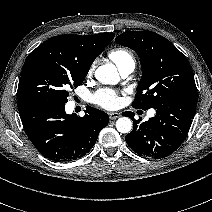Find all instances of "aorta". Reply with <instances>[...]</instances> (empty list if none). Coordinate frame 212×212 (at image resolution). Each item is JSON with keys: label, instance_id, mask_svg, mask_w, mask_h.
<instances>
[{"label": "aorta", "instance_id": "obj_1", "mask_svg": "<svg viewBox=\"0 0 212 212\" xmlns=\"http://www.w3.org/2000/svg\"><path fill=\"white\" fill-rule=\"evenodd\" d=\"M95 78L102 84H110L117 80L118 76L112 64H105L96 69ZM132 126V121L128 117H121L116 121V129L120 133H129L132 130Z\"/></svg>", "mask_w": 212, "mask_h": 212}]
</instances>
